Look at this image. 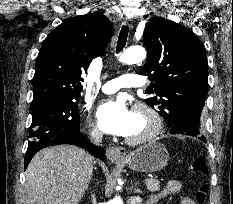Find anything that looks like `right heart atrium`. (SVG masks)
<instances>
[{"label":"right heart atrium","instance_id":"obj_1","mask_svg":"<svg viewBox=\"0 0 233 204\" xmlns=\"http://www.w3.org/2000/svg\"><path fill=\"white\" fill-rule=\"evenodd\" d=\"M87 130H88V135L90 136V138L92 140L97 141V140L101 139L102 133L97 127H95L92 124L88 123Z\"/></svg>","mask_w":233,"mask_h":204}]
</instances>
